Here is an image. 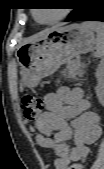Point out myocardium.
Returning a JSON list of instances; mask_svg holds the SVG:
<instances>
[{
    "mask_svg": "<svg viewBox=\"0 0 104 169\" xmlns=\"http://www.w3.org/2000/svg\"><path fill=\"white\" fill-rule=\"evenodd\" d=\"M66 14H67L66 10H62L54 19L49 20V21H45V22L38 20L35 12L33 13V17L37 22H39L41 24H53V23H56V22L62 20L63 18H65Z\"/></svg>",
    "mask_w": 104,
    "mask_h": 169,
    "instance_id": "f54148a6",
    "label": "myocardium"
}]
</instances>
